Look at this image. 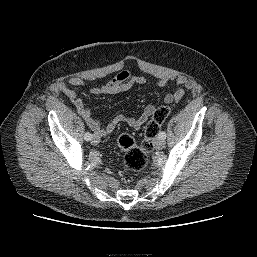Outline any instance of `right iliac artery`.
Wrapping results in <instances>:
<instances>
[{
	"label": "right iliac artery",
	"instance_id": "82829eb1",
	"mask_svg": "<svg viewBox=\"0 0 257 257\" xmlns=\"http://www.w3.org/2000/svg\"><path fill=\"white\" fill-rule=\"evenodd\" d=\"M91 138H92L91 133H89V132L85 133V135H84V139H85L86 141L91 140Z\"/></svg>",
	"mask_w": 257,
	"mask_h": 257
}]
</instances>
